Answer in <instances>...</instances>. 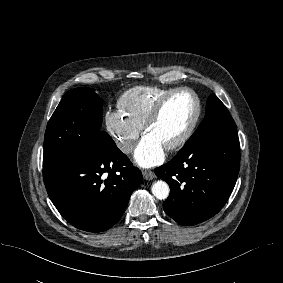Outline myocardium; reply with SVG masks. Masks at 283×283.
I'll return each instance as SVG.
<instances>
[{
	"label": "myocardium",
	"mask_w": 283,
	"mask_h": 283,
	"mask_svg": "<svg viewBox=\"0 0 283 283\" xmlns=\"http://www.w3.org/2000/svg\"><path fill=\"white\" fill-rule=\"evenodd\" d=\"M180 93H187L191 95V97L193 98L195 102L196 110H195V114L190 124L188 125V127L185 129V131L180 135L178 139H176L174 142H172L171 144L165 147L166 150H175V149H178L184 146L189 141V139L192 137L193 133L195 132L197 125L200 121L201 114H202L201 101L198 95L196 94V92L188 87H181V88L173 89L170 92L166 93L161 98H159L157 102L154 104V106L152 107L149 115L147 116L142 126V133L145 135L146 131L154 124V122L159 117L165 104L173 96L180 94Z\"/></svg>",
	"instance_id": "myocardium-1"
}]
</instances>
